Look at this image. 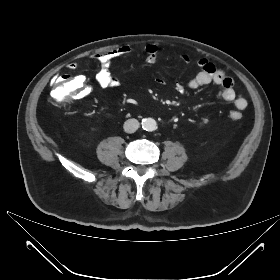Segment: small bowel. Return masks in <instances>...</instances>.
<instances>
[{
	"label": "small bowel",
	"instance_id": "1",
	"mask_svg": "<svg viewBox=\"0 0 280 280\" xmlns=\"http://www.w3.org/2000/svg\"><path fill=\"white\" fill-rule=\"evenodd\" d=\"M133 53V47L124 45L113 50L95 54L93 59L100 65L95 74L96 83L102 88L120 87L122 85V80L111 73V63L115 59L129 57ZM158 57V48L155 45H148L146 47V62L149 64L155 63L158 60ZM183 59L185 62L190 61V58L187 55H184ZM198 66L200 67V72L187 83H178L176 85V90L178 92H184L186 89H197L209 84L219 85L221 87L218 93L219 98L223 101L233 103L235 107V110L230 113V117L233 120H236L233 118L235 114L238 113L242 116V111L246 109L248 102L243 95L234 90V82L232 78L206 59H200L198 61ZM77 67L78 65L75 62L68 64V68L72 71H75ZM91 90V85L84 79L80 93L86 96L91 93ZM207 124V118L202 119L199 122L200 126H205Z\"/></svg>",
	"mask_w": 280,
	"mask_h": 280
}]
</instances>
